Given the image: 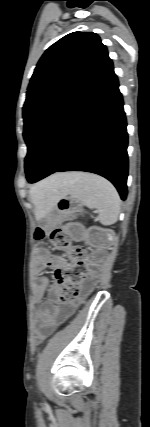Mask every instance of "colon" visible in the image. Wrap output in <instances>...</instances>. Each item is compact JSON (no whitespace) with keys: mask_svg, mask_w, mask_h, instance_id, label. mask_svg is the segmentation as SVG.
Listing matches in <instances>:
<instances>
[{"mask_svg":"<svg viewBox=\"0 0 150 427\" xmlns=\"http://www.w3.org/2000/svg\"><path fill=\"white\" fill-rule=\"evenodd\" d=\"M46 234L43 230L38 229L35 233L36 239L45 238ZM49 238L52 244L57 248H67L70 246L68 235L65 231L56 229L53 230ZM71 257L78 260L83 254V249L76 247L71 251ZM56 287L62 301H71L77 295V287L85 278L84 266L80 261H77L72 267L57 269L55 272Z\"/></svg>","mask_w":150,"mask_h":427,"instance_id":"colon-1","label":"colon"}]
</instances>
